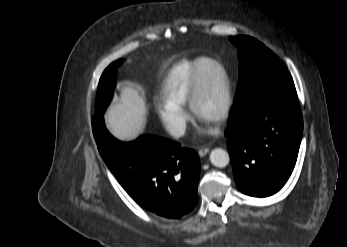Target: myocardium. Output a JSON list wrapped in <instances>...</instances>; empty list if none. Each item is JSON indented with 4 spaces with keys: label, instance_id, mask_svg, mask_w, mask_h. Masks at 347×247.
I'll list each match as a JSON object with an SVG mask.
<instances>
[{
    "label": "myocardium",
    "instance_id": "obj_1",
    "mask_svg": "<svg viewBox=\"0 0 347 247\" xmlns=\"http://www.w3.org/2000/svg\"><path fill=\"white\" fill-rule=\"evenodd\" d=\"M203 64H210L213 67H215L221 76V82L223 86V103L222 106L216 115V117L213 119V122L215 123H221L224 120H226L231 112L232 105H233V94H232V85H231V80L228 75L227 70L225 67L219 63L218 61L210 58H204L202 65ZM202 65H199L193 73L192 80L190 83V88H189V94H188V105L193 113V115L196 118L199 117V98H200V93H201V68Z\"/></svg>",
    "mask_w": 347,
    "mask_h": 247
}]
</instances>
